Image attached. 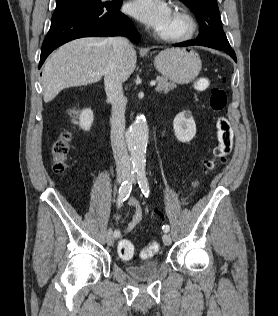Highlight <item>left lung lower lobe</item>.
Segmentation results:
<instances>
[{"label": "left lung lower lobe", "mask_w": 278, "mask_h": 316, "mask_svg": "<svg viewBox=\"0 0 278 316\" xmlns=\"http://www.w3.org/2000/svg\"><path fill=\"white\" fill-rule=\"evenodd\" d=\"M191 45H201V46H204V45L200 44L199 42L193 41V40L176 44V46H181V47H182V46H191ZM226 53H227V52H226ZM228 54H229L235 61H237L236 55H235L234 52H228Z\"/></svg>", "instance_id": "left-lung-lower-lobe-1"}]
</instances>
